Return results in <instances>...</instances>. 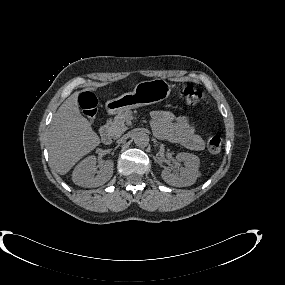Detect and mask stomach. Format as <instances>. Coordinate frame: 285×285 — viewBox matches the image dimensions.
<instances>
[{"mask_svg":"<svg viewBox=\"0 0 285 285\" xmlns=\"http://www.w3.org/2000/svg\"><path fill=\"white\" fill-rule=\"evenodd\" d=\"M171 86L163 79L157 78L139 82L133 92L125 93L105 104L109 114H119L130 109L161 102L168 98Z\"/></svg>","mask_w":285,"mask_h":285,"instance_id":"1","label":"stomach"}]
</instances>
